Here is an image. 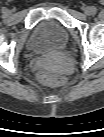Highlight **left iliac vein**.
Masks as SVG:
<instances>
[{"label": "left iliac vein", "instance_id": "obj_1", "mask_svg": "<svg viewBox=\"0 0 104 137\" xmlns=\"http://www.w3.org/2000/svg\"><path fill=\"white\" fill-rule=\"evenodd\" d=\"M83 11L85 14L89 15V14H91V7H86L83 9Z\"/></svg>", "mask_w": 104, "mask_h": 137}]
</instances>
